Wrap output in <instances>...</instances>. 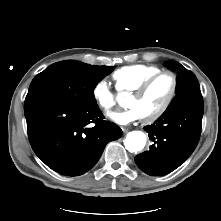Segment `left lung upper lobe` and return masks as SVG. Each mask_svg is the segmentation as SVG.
<instances>
[{"mask_svg": "<svg viewBox=\"0 0 221 221\" xmlns=\"http://www.w3.org/2000/svg\"><path fill=\"white\" fill-rule=\"evenodd\" d=\"M168 68L178 69L176 96L168 106L167 110L171 109L175 105L185 101L187 97L194 94H200V87L196 76L178 62H169Z\"/></svg>", "mask_w": 221, "mask_h": 221, "instance_id": "1", "label": "left lung upper lobe"}]
</instances>
